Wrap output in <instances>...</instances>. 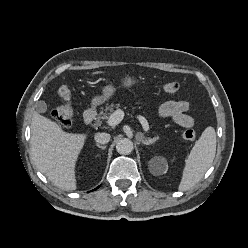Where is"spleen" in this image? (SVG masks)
Segmentation results:
<instances>
[{"label": "spleen", "instance_id": "1", "mask_svg": "<svg viewBox=\"0 0 248 248\" xmlns=\"http://www.w3.org/2000/svg\"><path fill=\"white\" fill-rule=\"evenodd\" d=\"M215 153L216 133L215 129L209 126L203 131L185 160L179 191H187L200 181L211 166Z\"/></svg>", "mask_w": 248, "mask_h": 248}]
</instances>
